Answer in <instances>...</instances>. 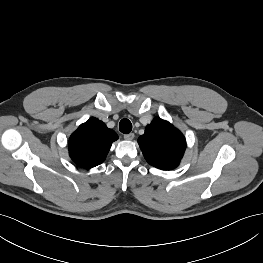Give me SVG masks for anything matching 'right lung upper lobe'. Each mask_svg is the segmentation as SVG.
I'll return each mask as SVG.
<instances>
[{"label":"right lung upper lobe","instance_id":"obj_1","mask_svg":"<svg viewBox=\"0 0 263 263\" xmlns=\"http://www.w3.org/2000/svg\"><path fill=\"white\" fill-rule=\"evenodd\" d=\"M118 135L96 118L81 124L69 140L71 159L81 167L92 168L101 164Z\"/></svg>","mask_w":263,"mask_h":263}]
</instances>
